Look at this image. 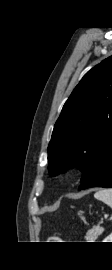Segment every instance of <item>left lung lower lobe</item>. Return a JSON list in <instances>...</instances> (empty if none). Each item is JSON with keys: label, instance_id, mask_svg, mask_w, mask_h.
<instances>
[{"label": "left lung lower lobe", "instance_id": "obj_1", "mask_svg": "<svg viewBox=\"0 0 112 270\" xmlns=\"http://www.w3.org/2000/svg\"><path fill=\"white\" fill-rule=\"evenodd\" d=\"M91 187L112 188V145L104 153L99 169L89 179L82 182L79 190Z\"/></svg>", "mask_w": 112, "mask_h": 270}]
</instances>
